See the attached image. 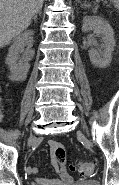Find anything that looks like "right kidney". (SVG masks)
I'll use <instances>...</instances> for the list:
<instances>
[{
	"label": "right kidney",
	"instance_id": "ca27d5eb",
	"mask_svg": "<svg viewBox=\"0 0 119 185\" xmlns=\"http://www.w3.org/2000/svg\"><path fill=\"white\" fill-rule=\"evenodd\" d=\"M34 35V31H26L19 35L13 45L9 48L8 55L6 58V65H8L11 75L9 79L14 82L24 81L27 77V73L30 69L28 60L23 59L18 62L19 51L24 48L28 43L29 39Z\"/></svg>",
	"mask_w": 119,
	"mask_h": 185
}]
</instances>
